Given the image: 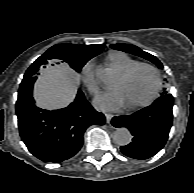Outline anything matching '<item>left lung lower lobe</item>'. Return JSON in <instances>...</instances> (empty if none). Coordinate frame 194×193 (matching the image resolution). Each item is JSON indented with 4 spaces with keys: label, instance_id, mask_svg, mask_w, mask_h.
<instances>
[{
    "label": "left lung lower lobe",
    "instance_id": "obj_1",
    "mask_svg": "<svg viewBox=\"0 0 194 193\" xmlns=\"http://www.w3.org/2000/svg\"><path fill=\"white\" fill-rule=\"evenodd\" d=\"M173 97L164 94L152 105L131 115L114 117L112 125L127 128L133 138L121 152L134 159L144 160L154 156L165 145L173 121Z\"/></svg>",
    "mask_w": 194,
    "mask_h": 193
}]
</instances>
